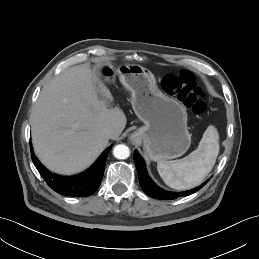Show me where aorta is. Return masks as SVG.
I'll use <instances>...</instances> for the list:
<instances>
[{
    "label": "aorta",
    "instance_id": "762f6f07",
    "mask_svg": "<svg viewBox=\"0 0 259 259\" xmlns=\"http://www.w3.org/2000/svg\"><path fill=\"white\" fill-rule=\"evenodd\" d=\"M113 155L117 159H126L130 155V150L126 145L119 144L114 147Z\"/></svg>",
    "mask_w": 259,
    "mask_h": 259
}]
</instances>
